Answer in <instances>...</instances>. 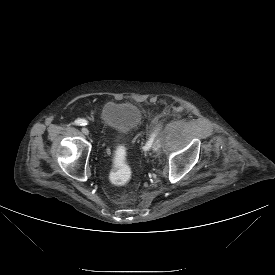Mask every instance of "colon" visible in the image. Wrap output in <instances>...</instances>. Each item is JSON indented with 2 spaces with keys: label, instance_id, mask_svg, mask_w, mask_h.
<instances>
[{
  "label": "colon",
  "instance_id": "1",
  "mask_svg": "<svg viewBox=\"0 0 275 275\" xmlns=\"http://www.w3.org/2000/svg\"><path fill=\"white\" fill-rule=\"evenodd\" d=\"M132 171L126 162H117L110 171V179L116 185L126 183L131 177Z\"/></svg>",
  "mask_w": 275,
  "mask_h": 275
}]
</instances>
